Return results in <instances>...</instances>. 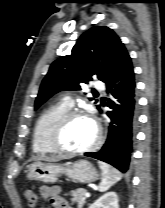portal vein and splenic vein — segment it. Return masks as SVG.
<instances>
[{"label":"portal vein and splenic vein","mask_w":165,"mask_h":208,"mask_svg":"<svg viewBox=\"0 0 165 208\" xmlns=\"http://www.w3.org/2000/svg\"><path fill=\"white\" fill-rule=\"evenodd\" d=\"M85 197H90V193L86 192Z\"/></svg>","instance_id":"18ae733b"}]
</instances>
